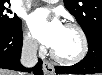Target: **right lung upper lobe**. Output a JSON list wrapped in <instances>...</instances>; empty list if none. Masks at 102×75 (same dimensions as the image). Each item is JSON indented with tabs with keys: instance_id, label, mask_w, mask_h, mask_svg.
Segmentation results:
<instances>
[{
	"instance_id": "1",
	"label": "right lung upper lobe",
	"mask_w": 102,
	"mask_h": 75,
	"mask_svg": "<svg viewBox=\"0 0 102 75\" xmlns=\"http://www.w3.org/2000/svg\"><path fill=\"white\" fill-rule=\"evenodd\" d=\"M0 1H10V0H0Z\"/></svg>"
}]
</instances>
